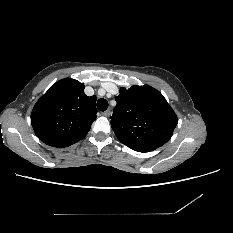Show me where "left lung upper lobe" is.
Wrapping results in <instances>:
<instances>
[{"label":"left lung upper lobe","instance_id":"obj_1","mask_svg":"<svg viewBox=\"0 0 233 233\" xmlns=\"http://www.w3.org/2000/svg\"><path fill=\"white\" fill-rule=\"evenodd\" d=\"M111 116L117 138L138 152L164 145L177 125V116L163 95L149 85L121 88Z\"/></svg>","mask_w":233,"mask_h":233}]
</instances>
